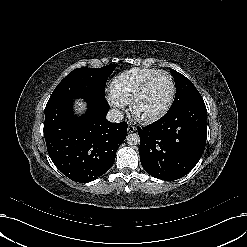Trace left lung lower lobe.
<instances>
[{"mask_svg": "<svg viewBox=\"0 0 247 247\" xmlns=\"http://www.w3.org/2000/svg\"><path fill=\"white\" fill-rule=\"evenodd\" d=\"M207 110L202 97L168 110L158 121L138 128L140 161L151 176L173 181L188 174L206 144Z\"/></svg>", "mask_w": 247, "mask_h": 247, "instance_id": "0a47b994", "label": "left lung lower lobe"}]
</instances>
